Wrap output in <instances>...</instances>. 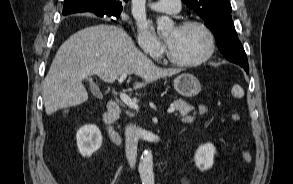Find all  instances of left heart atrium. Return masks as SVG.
<instances>
[{
	"label": "left heart atrium",
	"instance_id": "left-heart-atrium-1",
	"mask_svg": "<svg viewBox=\"0 0 293 184\" xmlns=\"http://www.w3.org/2000/svg\"><path fill=\"white\" fill-rule=\"evenodd\" d=\"M168 44H170V40H168Z\"/></svg>",
	"mask_w": 293,
	"mask_h": 184
}]
</instances>
